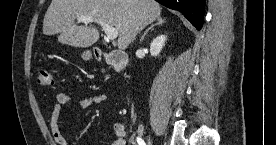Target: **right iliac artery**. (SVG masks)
Returning a JSON list of instances; mask_svg holds the SVG:
<instances>
[{
    "label": "right iliac artery",
    "mask_w": 276,
    "mask_h": 145,
    "mask_svg": "<svg viewBox=\"0 0 276 145\" xmlns=\"http://www.w3.org/2000/svg\"><path fill=\"white\" fill-rule=\"evenodd\" d=\"M137 143H138L139 145H145L144 140H143L142 138H140V137H137Z\"/></svg>",
    "instance_id": "obj_1"
}]
</instances>
